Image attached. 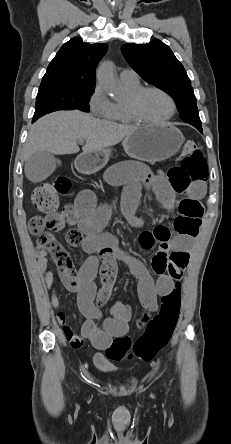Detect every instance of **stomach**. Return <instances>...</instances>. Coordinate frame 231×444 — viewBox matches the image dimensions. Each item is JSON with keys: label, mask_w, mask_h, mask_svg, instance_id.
<instances>
[{"label": "stomach", "mask_w": 231, "mask_h": 444, "mask_svg": "<svg viewBox=\"0 0 231 444\" xmlns=\"http://www.w3.org/2000/svg\"><path fill=\"white\" fill-rule=\"evenodd\" d=\"M181 131L172 124H151L139 127L123 140L126 154L145 162H158L170 158L178 152L184 143ZM110 156L107 149L81 154L76 168L86 174L103 168Z\"/></svg>", "instance_id": "0dacf381"}]
</instances>
